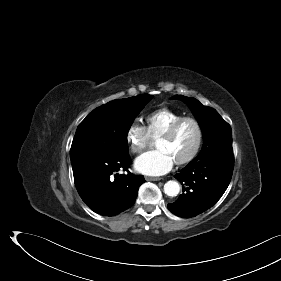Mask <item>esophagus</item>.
<instances>
[{"instance_id": "34e87169", "label": "esophagus", "mask_w": 281, "mask_h": 281, "mask_svg": "<svg viewBox=\"0 0 281 281\" xmlns=\"http://www.w3.org/2000/svg\"><path fill=\"white\" fill-rule=\"evenodd\" d=\"M145 179L147 181H160L162 178H159V177H146Z\"/></svg>"}]
</instances>
